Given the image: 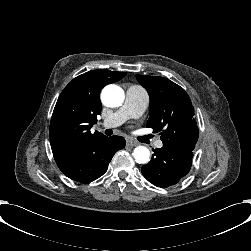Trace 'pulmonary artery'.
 I'll return each instance as SVG.
<instances>
[{"label": "pulmonary artery", "mask_w": 251, "mask_h": 251, "mask_svg": "<svg viewBox=\"0 0 251 251\" xmlns=\"http://www.w3.org/2000/svg\"><path fill=\"white\" fill-rule=\"evenodd\" d=\"M148 106L147 96L136 86H129L126 89V96L123 105L114 113L106 117L99 125L105 129H111L122 125L130 118H139L143 115ZM161 140L155 142V147L161 148Z\"/></svg>", "instance_id": "pulmonary-artery-1"}]
</instances>
